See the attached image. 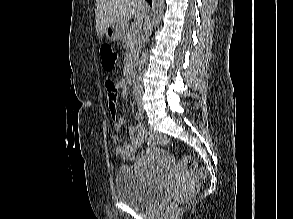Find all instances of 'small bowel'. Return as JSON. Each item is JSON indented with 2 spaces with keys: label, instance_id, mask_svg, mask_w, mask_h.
<instances>
[{
  "label": "small bowel",
  "instance_id": "obj_1",
  "mask_svg": "<svg viewBox=\"0 0 293 219\" xmlns=\"http://www.w3.org/2000/svg\"><path fill=\"white\" fill-rule=\"evenodd\" d=\"M105 87L107 90V101L108 108L111 112L113 118V128L119 131L126 125V120L116 115V105L118 96L125 99L128 97V89L123 80L111 81L107 80L105 82ZM128 133L130 137V143L125 145H119V137L114 136L113 142L115 144V153L124 160H133L135 153L138 148L147 140L148 135L145 127L142 124L129 125Z\"/></svg>",
  "mask_w": 293,
  "mask_h": 219
}]
</instances>
